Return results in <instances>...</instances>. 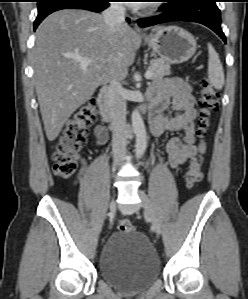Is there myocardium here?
Segmentation results:
<instances>
[{
	"label": "myocardium",
	"mask_w": 248,
	"mask_h": 299,
	"mask_svg": "<svg viewBox=\"0 0 248 299\" xmlns=\"http://www.w3.org/2000/svg\"><path fill=\"white\" fill-rule=\"evenodd\" d=\"M159 4L155 3L153 4L150 8L147 9L148 13H153L154 11H156L159 8Z\"/></svg>",
	"instance_id": "f54148a6"
}]
</instances>
